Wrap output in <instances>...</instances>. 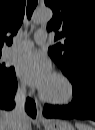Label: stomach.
<instances>
[{"mask_svg":"<svg viewBox=\"0 0 95 130\" xmlns=\"http://www.w3.org/2000/svg\"><path fill=\"white\" fill-rule=\"evenodd\" d=\"M45 130H75L74 127L65 120H50L44 124Z\"/></svg>","mask_w":95,"mask_h":130,"instance_id":"obj_1","label":"stomach"}]
</instances>
